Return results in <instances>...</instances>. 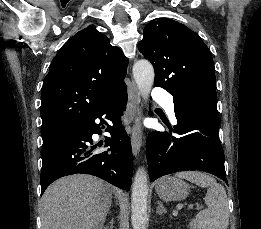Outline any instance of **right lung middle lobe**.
<instances>
[{
    "label": "right lung middle lobe",
    "mask_w": 261,
    "mask_h": 229,
    "mask_svg": "<svg viewBox=\"0 0 261 229\" xmlns=\"http://www.w3.org/2000/svg\"><path fill=\"white\" fill-rule=\"evenodd\" d=\"M41 135L43 138V145H46L52 140H54L55 138L59 137L61 133L57 130H44L41 131Z\"/></svg>",
    "instance_id": "right-lung-middle-lobe-1"
}]
</instances>
